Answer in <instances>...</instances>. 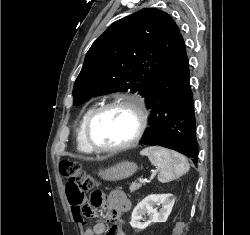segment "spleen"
Instances as JSON below:
<instances>
[{
	"mask_svg": "<svg viewBox=\"0 0 250 235\" xmlns=\"http://www.w3.org/2000/svg\"><path fill=\"white\" fill-rule=\"evenodd\" d=\"M140 153L147 156L150 162L160 169L158 180L161 183L170 182L189 171L187 159L177 152L152 146L143 149Z\"/></svg>",
	"mask_w": 250,
	"mask_h": 235,
	"instance_id": "1",
	"label": "spleen"
}]
</instances>
